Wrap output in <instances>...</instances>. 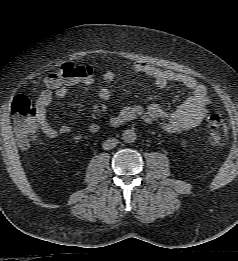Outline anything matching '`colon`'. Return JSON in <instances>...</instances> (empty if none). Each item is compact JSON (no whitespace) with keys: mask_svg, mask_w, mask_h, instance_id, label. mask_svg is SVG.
Returning a JSON list of instances; mask_svg holds the SVG:
<instances>
[{"mask_svg":"<svg viewBox=\"0 0 238 261\" xmlns=\"http://www.w3.org/2000/svg\"><path fill=\"white\" fill-rule=\"evenodd\" d=\"M91 74H93V70L89 66L67 63L51 74L48 82L51 85H56ZM11 111L18 144L22 148H27L38 131L36 107L26 96L20 95L14 99ZM227 131V121L223 116L215 113L208 117V140L212 145L222 144Z\"/></svg>","mask_w":238,"mask_h":261,"instance_id":"5ec220e1","label":"colon"}]
</instances>
